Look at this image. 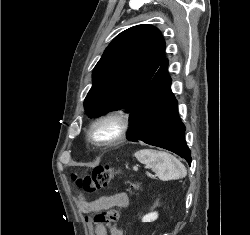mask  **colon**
Wrapping results in <instances>:
<instances>
[{"label":"colon","mask_w":250,"mask_h":235,"mask_svg":"<svg viewBox=\"0 0 250 235\" xmlns=\"http://www.w3.org/2000/svg\"><path fill=\"white\" fill-rule=\"evenodd\" d=\"M117 173L118 170L114 167L98 166L83 177L73 176V180L80 190L85 192H97L106 189L111 184ZM133 187L136 188L137 184H134ZM117 218V211L107 210L95 214L94 221L110 223L117 220Z\"/></svg>","instance_id":"colon-1"}]
</instances>
